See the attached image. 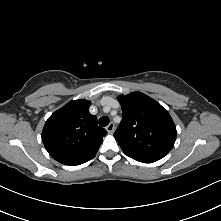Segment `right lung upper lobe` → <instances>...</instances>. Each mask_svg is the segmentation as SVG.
I'll use <instances>...</instances> for the list:
<instances>
[{"instance_id": "right-lung-upper-lobe-1", "label": "right lung upper lobe", "mask_w": 221, "mask_h": 221, "mask_svg": "<svg viewBox=\"0 0 221 221\" xmlns=\"http://www.w3.org/2000/svg\"><path fill=\"white\" fill-rule=\"evenodd\" d=\"M91 102L71 101L46 121L42 141L48 153L65 165H80L92 159L98 151L106 130L97 125L89 113Z\"/></svg>"}]
</instances>
